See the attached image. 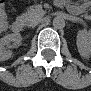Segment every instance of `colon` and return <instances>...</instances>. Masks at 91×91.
<instances>
[{"label":"colon","mask_w":91,"mask_h":91,"mask_svg":"<svg viewBox=\"0 0 91 91\" xmlns=\"http://www.w3.org/2000/svg\"><path fill=\"white\" fill-rule=\"evenodd\" d=\"M0 11H1V12H4V11H5L4 7H2V8L0 9Z\"/></svg>","instance_id":"1"}]
</instances>
